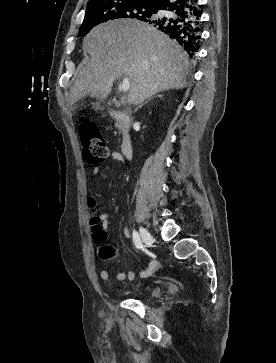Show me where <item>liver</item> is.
<instances>
[{
	"label": "liver",
	"instance_id": "1",
	"mask_svg": "<svg viewBox=\"0 0 276 363\" xmlns=\"http://www.w3.org/2000/svg\"><path fill=\"white\" fill-rule=\"evenodd\" d=\"M83 49L90 60L79 68L70 105L86 96L106 99L122 77L129 79L127 101L132 105L187 85L191 65L186 52L148 23L119 19L100 24L84 38Z\"/></svg>",
	"mask_w": 276,
	"mask_h": 363
}]
</instances>
